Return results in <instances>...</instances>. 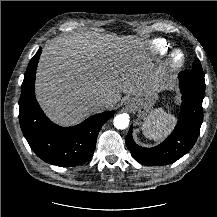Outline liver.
<instances>
[{
    "label": "liver",
    "instance_id": "1",
    "mask_svg": "<svg viewBox=\"0 0 217 217\" xmlns=\"http://www.w3.org/2000/svg\"><path fill=\"white\" fill-rule=\"evenodd\" d=\"M36 96L44 112L57 124L71 126L93 111V99L116 105L121 93L155 92L128 40L93 33L60 35L43 48L36 75Z\"/></svg>",
    "mask_w": 217,
    "mask_h": 217
}]
</instances>
